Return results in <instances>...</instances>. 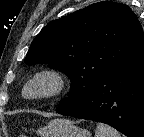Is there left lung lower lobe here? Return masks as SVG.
<instances>
[{"label":"left lung lower lobe","mask_w":144,"mask_h":137,"mask_svg":"<svg viewBox=\"0 0 144 137\" xmlns=\"http://www.w3.org/2000/svg\"><path fill=\"white\" fill-rule=\"evenodd\" d=\"M56 111L108 124L128 137H144V34L85 98Z\"/></svg>","instance_id":"left-lung-lower-lobe-1"}]
</instances>
